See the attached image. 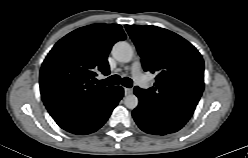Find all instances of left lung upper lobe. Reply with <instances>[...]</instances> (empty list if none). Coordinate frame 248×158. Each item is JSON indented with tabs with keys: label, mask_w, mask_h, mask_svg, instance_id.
<instances>
[{
	"label": "left lung upper lobe",
	"mask_w": 248,
	"mask_h": 158,
	"mask_svg": "<svg viewBox=\"0 0 248 158\" xmlns=\"http://www.w3.org/2000/svg\"><path fill=\"white\" fill-rule=\"evenodd\" d=\"M145 71L155 73L147 90L135 87L146 100L169 116L187 122L204 90V61L181 36L160 27L126 25Z\"/></svg>",
	"instance_id": "1"
}]
</instances>
